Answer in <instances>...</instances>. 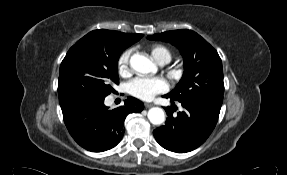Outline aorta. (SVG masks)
Returning <instances> with one entry per match:
<instances>
[{
  "instance_id": "762f6f07",
  "label": "aorta",
  "mask_w": 287,
  "mask_h": 175,
  "mask_svg": "<svg viewBox=\"0 0 287 175\" xmlns=\"http://www.w3.org/2000/svg\"><path fill=\"white\" fill-rule=\"evenodd\" d=\"M130 66L139 73L147 74L156 71L153 62L144 55L134 54L130 59ZM148 119L153 125H161L165 121V113L162 108L153 107L148 111Z\"/></svg>"
}]
</instances>
